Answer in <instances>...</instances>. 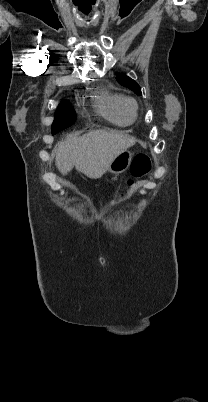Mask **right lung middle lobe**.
<instances>
[{
	"label": "right lung middle lobe",
	"instance_id": "dd1d6c3e",
	"mask_svg": "<svg viewBox=\"0 0 208 402\" xmlns=\"http://www.w3.org/2000/svg\"><path fill=\"white\" fill-rule=\"evenodd\" d=\"M75 118L72 107L67 102H63L59 105L55 114V120L52 124V133H56L59 130L70 126L75 121Z\"/></svg>",
	"mask_w": 208,
	"mask_h": 402
}]
</instances>
